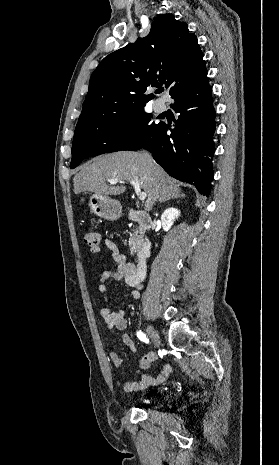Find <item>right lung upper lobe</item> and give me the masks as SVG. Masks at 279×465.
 I'll return each instance as SVG.
<instances>
[{
    "label": "right lung upper lobe",
    "instance_id": "cb5924a9",
    "mask_svg": "<svg viewBox=\"0 0 279 465\" xmlns=\"http://www.w3.org/2000/svg\"><path fill=\"white\" fill-rule=\"evenodd\" d=\"M206 75L196 36L172 14L161 15L146 37L101 61L91 76L77 126L144 107L152 99L145 94L150 87L165 85L174 96Z\"/></svg>",
    "mask_w": 279,
    "mask_h": 465
}]
</instances>
